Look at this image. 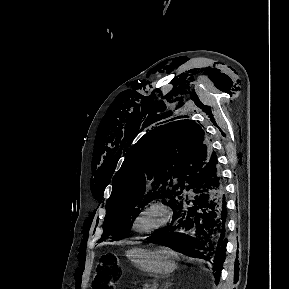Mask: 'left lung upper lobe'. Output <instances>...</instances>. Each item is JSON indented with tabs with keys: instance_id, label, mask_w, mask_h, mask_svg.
<instances>
[{
	"instance_id": "1",
	"label": "left lung upper lobe",
	"mask_w": 289,
	"mask_h": 289,
	"mask_svg": "<svg viewBox=\"0 0 289 289\" xmlns=\"http://www.w3.org/2000/svg\"><path fill=\"white\" fill-rule=\"evenodd\" d=\"M214 153L203 129L191 120L173 121L144 135L113 178L100 242L123 239L131 219L153 199L172 207Z\"/></svg>"
}]
</instances>
